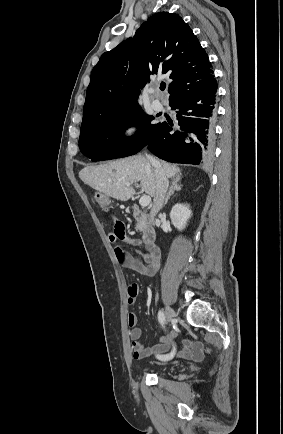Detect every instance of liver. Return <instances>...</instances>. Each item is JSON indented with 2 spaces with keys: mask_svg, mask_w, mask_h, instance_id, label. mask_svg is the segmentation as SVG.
Segmentation results:
<instances>
[{
  "mask_svg": "<svg viewBox=\"0 0 283 434\" xmlns=\"http://www.w3.org/2000/svg\"><path fill=\"white\" fill-rule=\"evenodd\" d=\"M167 178L178 176L180 168L166 162L160 163ZM79 178L91 188L116 200L127 201L136 191L133 184L140 182L142 190L149 196L156 193L154 168L143 155H134L124 159L97 166H86L79 172ZM130 186H127V184Z\"/></svg>",
  "mask_w": 283,
  "mask_h": 434,
  "instance_id": "liver-1",
  "label": "liver"
}]
</instances>
